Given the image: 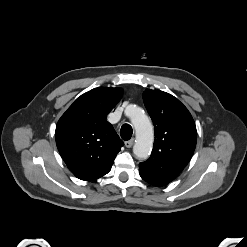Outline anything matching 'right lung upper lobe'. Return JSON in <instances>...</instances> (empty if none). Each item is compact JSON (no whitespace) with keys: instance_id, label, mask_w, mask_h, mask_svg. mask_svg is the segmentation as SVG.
<instances>
[{"instance_id":"right-lung-upper-lobe-1","label":"right lung upper lobe","mask_w":247,"mask_h":247,"mask_svg":"<svg viewBox=\"0 0 247 247\" xmlns=\"http://www.w3.org/2000/svg\"><path fill=\"white\" fill-rule=\"evenodd\" d=\"M122 94L121 88L92 89L78 97L59 119L57 148L77 178L91 181L107 174L124 145L106 121Z\"/></svg>"}]
</instances>
